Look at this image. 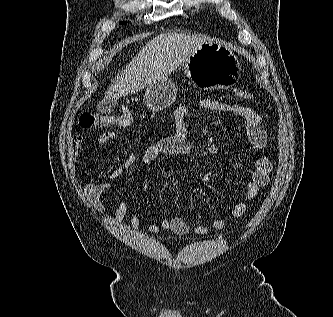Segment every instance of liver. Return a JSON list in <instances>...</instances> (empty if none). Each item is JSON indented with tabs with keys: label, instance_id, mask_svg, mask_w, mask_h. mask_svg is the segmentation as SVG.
<instances>
[{
	"label": "liver",
	"instance_id": "6515ba94",
	"mask_svg": "<svg viewBox=\"0 0 333 317\" xmlns=\"http://www.w3.org/2000/svg\"><path fill=\"white\" fill-rule=\"evenodd\" d=\"M211 38L204 35L163 33L149 41L109 87L105 99H118L165 78L185 63L196 48Z\"/></svg>",
	"mask_w": 333,
	"mask_h": 317
}]
</instances>
